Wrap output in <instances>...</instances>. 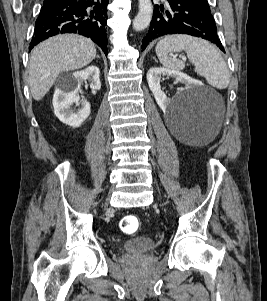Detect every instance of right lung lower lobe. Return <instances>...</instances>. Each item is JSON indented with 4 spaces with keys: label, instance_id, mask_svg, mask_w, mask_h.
<instances>
[{
    "label": "right lung lower lobe",
    "instance_id": "98d812e1",
    "mask_svg": "<svg viewBox=\"0 0 267 301\" xmlns=\"http://www.w3.org/2000/svg\"><path fill=\"white\" fill-rule=\"evenodd\" d=\"M109 0H56L44 4L35 23L31 50L40 41L62 33L91 38L107 55V5Z\"/></svg>",
    "mask_w": 267,
    "mask_h": 301
}]
</instances>
